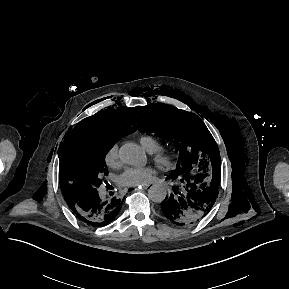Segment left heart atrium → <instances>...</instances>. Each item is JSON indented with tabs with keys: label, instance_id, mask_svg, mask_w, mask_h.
I'll return each mask as SVG.
<instances>
[{
	"label": "left heart atrium",
	"instance_id": "1",
	"mask_svg": "<svg viewBox=\"0 0 289 289\" xmlns=\"http://www.w3.org/2000/svg\"><path fill=\"white\" fill-rule=\"evenodd\" d=\"M155 170L152 167L127 168L118 177V182L123 186H143L154 179Z\"/></svg>",
	"mask_w": 289,
	"mask_h": 289
}]
</instances>
